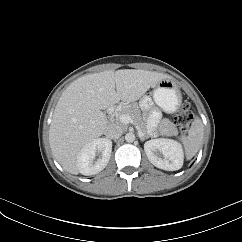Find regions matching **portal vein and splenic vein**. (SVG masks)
I'll list each match as a JSON object with an SVG mask.
<instances>
[{"instance_id":"portal-vein-and-splenic-vein-1","label":"portal vein and splenic vein","mask_w":242,"mask_h":242,"mask_svg":"<svg viewBox=\"0 0 242 242\" xmlns=\"http://www.w3.org/2000/svg\"><path fill=\"white\" fill-rule=\"evenodd\" d=\"M119 121L123 124H129V123H133V119L130 115L128 114H121L119 115ZM138 130V134L139 136H143L144 134L141 132V130L137 127Z\"/></svg>"}]
</instances>
